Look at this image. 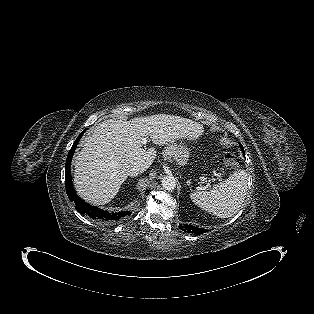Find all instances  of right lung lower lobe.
<instances>
[{
  "instance_id": "1",
  "label": "right lung lower lobe",
  "mask_w": 314,
  "mask_h": 314,
  "mask_svg": "<svg viewBox=\"0 0 314 314\" xmlns=\"http://www.w3.org/2000/svg\"><path fill=\"white\" fill-rule=\"evenodd\" d=\"M84 132L85 130L75 140L67 156V160L65 164L66 165L65 166V187H66L67 195L70 200L75 202V205H76L75 208L79 213L87 214L91 218L99 219L100 221H103V222H115L119 220L120 218L128 215L129 213L126 211H120L117 213H109L97 207L91 206L87 204L85 201H83L81 198H79L77 194L75 193V190L73 189L72 181H71V174H70V164H71L72 156L74 154V150L76 149V146Z\"/></svg>"
}]
</instances>
